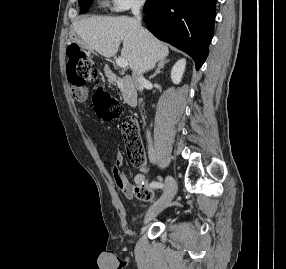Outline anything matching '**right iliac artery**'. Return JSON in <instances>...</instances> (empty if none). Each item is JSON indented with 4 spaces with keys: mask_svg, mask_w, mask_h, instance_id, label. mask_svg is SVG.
<instances>
[{
    "mask_svg": "<svg viewBox=\"0 0 286 269\" xmlns=\"http://www.w3.org/2000/svg\"><path fill=\"white\" fill-rule=\"evenodd\" d=\"M150 186L153 188H163L164 187V185L161 182H152L150 184Z\"/></svg>",
    "mask_w": 286,
    "mask_h": 269,
    "instance_id": "1",
    "label": "right iliac artery"
}]
</instances>
